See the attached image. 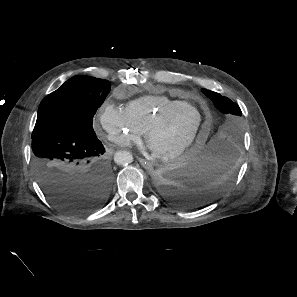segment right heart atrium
<instances>
[{
    "label": "right heart atrium",
    "instance_id": "d8ad5b80",
    "mask_svg": "<svg viewBox=\"0 0 297 297\" xmlns=\"http://www.w3.org/2000/svg\"><path fill=\"white\" fill-rule=\"evenodd\" d=\"M97 121L105 138L121 147L137 143L142 132L132 122L124 109L105 103L98 112Z\"/></svg>",
    "mask_w": 297,
    "mask_h": 297
}]
</instances>
